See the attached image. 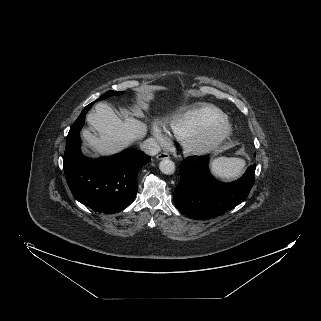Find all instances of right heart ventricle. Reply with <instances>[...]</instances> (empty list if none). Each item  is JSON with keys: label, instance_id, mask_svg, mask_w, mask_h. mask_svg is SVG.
<instances>
[{"label": "right heart ventricle", "instance_id": "1", "mask_svg": "<svg viewBox=\"0 0 321 321\" xmlns=\"http://www.w3.org/2000/svg\"><path fill=\"white\" fill-rule=\"evenodd\" d=\"M222 118L225 114L219 108L203 104L173 114L166 121V128L174 137L183 140L204 125Z\"/></svg>", "mask_w": 321, "mask_h": 321}]
</instances>
